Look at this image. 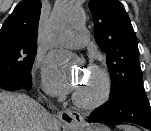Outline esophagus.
<instances>
[{"label":"esophagus","instance_id":"1","mask_svg":"<svg viewBox=\"0 0 151 131\" xmlns=\"http://www.w3.org/2000/svg\"><path fill=\"white\" fill-rule=\"evenodd\" d=\"M58 117L68 127H75L82 122L81 114L72 110L62 111L58 114Z\"/></svg>","mask_w":151,"mask_h":131}]
</instances>
